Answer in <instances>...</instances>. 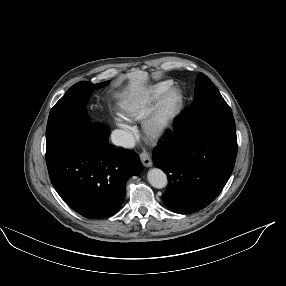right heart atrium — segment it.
I'll return each mask as SVG.
<instances>
[{
    "mask_svg": "<svg viewBox=\"0 0 286 286\" xmlns=\"http://www.w3.org/2000/svg\"><path fill=\"white\" fill-rule=\"evenodd\" d=\"M116 124L122 129L126 136V142L130 143L132 141V128L129 123L122 117H117L115 119Z\"/></svg>",
    "mask_w": 286,
    "mask_h": 286,
    "instance_id": "d8ad5b80",
    "label": "right heart atrium"
}]
</instances>
